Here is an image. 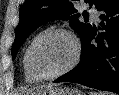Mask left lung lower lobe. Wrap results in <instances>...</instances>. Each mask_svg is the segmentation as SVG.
Instances as JSON below:
<instances>
[{"label": "left lung lower lobe", "instance_id": "1", "mask_svg": "<svg viewBox=\"0 0 119 95\" xmlns=\"http://www.w3.org/2000/svg\"><path fill=\"white\" fill-rule=\"evenodd\" d=\"M97 10L103 32L97 34L91 26L81 41L79 64L54 82H74L119 94V0H105Z\"/></svg>", "mask_w": 119, "mask_h": 95}]
</instances>
